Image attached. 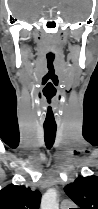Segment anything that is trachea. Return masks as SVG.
I'll return each mask as SVG.
<instances>
[{
  "mask_svg": "<svg viewBox=\"0 0 98 209\" xmlns=\"http://www.w3.org/2000/svg\"><path fill=\"white\" fill-rule=\"evenodd\" d=\"M56 127L44 126V139L47 148H51L56 137Z\"/></svg>",
  "mask_w": 98,
  "mask_h": 209,
  "instance_id": "obj_1",
  "label": "trachea"
}]
</instances>
